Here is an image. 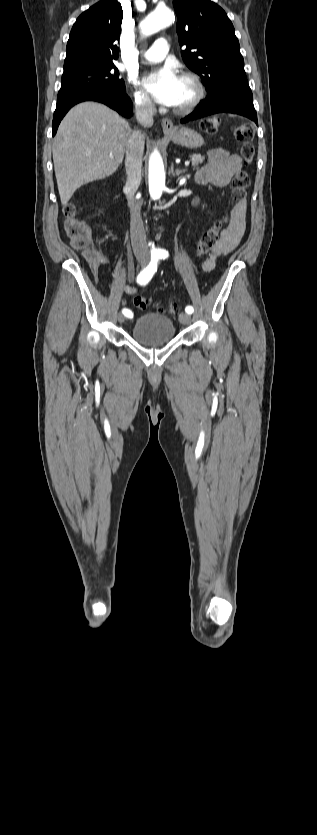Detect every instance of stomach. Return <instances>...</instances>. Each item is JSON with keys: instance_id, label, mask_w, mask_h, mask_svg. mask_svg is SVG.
<instances>
[{"instance_id": "obj_1", "label": "stomach", "mask_w": 317, "mask_h": 835, "mask_svg": "<svg viewBox=\"0 0 317 835\" xmlns=\"http://www.w3.org/2000/svg\"><path fill=\"white\" fill-rule=\"evenodd\" d=\"M172 142L186 148H199L204 144L203 137L192 128H176L173 132L165 133Z\"/></svg>"}]
</instances>
